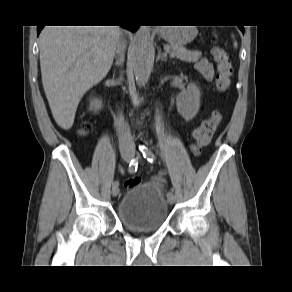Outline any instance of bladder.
Returning <instances> with one entry per match:
<instances>
[{
    "instance_id": "bladder-1",
    "label": "bladder",
    "mask_w": 292,
    "mask_h": 292,
    "mask_svg": "<svg viewBox=\"0 0 292 292\" xmlns=\"http://www.w3.org/2000/svg\"><path fill=\"white\" fill-rule=\"evenodd\" d=\"M123 227L135 233H152L167 221L169 208L160 186L155 183L128 188L117 206Z\"/></svg>"
}]
</instances>
